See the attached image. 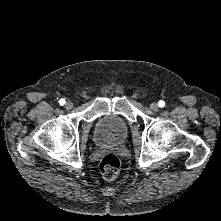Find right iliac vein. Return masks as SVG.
Masks as SVG:
<instances>
[{"label": "right iliac vein", "instance_id": "1", "mask_svg": "<svg viewBox=\"0 0 221 221\" xmlns=\"http://www.w3.org/2000/svg\"><path fill=\"white\" fill-rule=\"evenodd\" d=\"M65 108L67 110H70L73 108V103L71 101H67L66 104H65Z\"/></svg>", "mask_w": 221, "mask_h": 221}]
</instances>
